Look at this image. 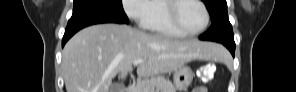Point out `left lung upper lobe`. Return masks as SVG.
I'll use <instances>...</instances> for the list:
<instances>
[{
  "label": "left lung upper lobe",
  "instance_id": "left-lung-upper-lobe-1",
  "mask_svg": "<svg viewBox=\"0 0 296 92\" xmlns=\"http://www.w3.org/2000/svg\"><path fill=\"white\" fill-rule=\"evenodd\" d=\"M211 16V27L202 36L204 40L234 42L232 26L228 19L226 0H202Z\"/></svg>",
  "mask_w": 296,
  "mask_h": 92
}]
</instances>
